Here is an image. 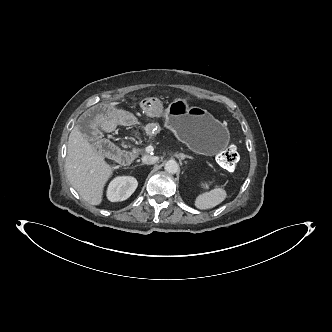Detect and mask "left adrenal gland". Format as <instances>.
I'll return each mask as SVG.
<instances>
[{"instance_id":"a2214340","label":"left adrenal gland","mask_w":332,"mask_h":332,"mask_svg":"<svg viewBox=\"0 0 332 332\" xmlns=\"http://www.w3.org/2000/svg\"><path fill=\"white\" fill-rule=\"evenodd\" d=\"M179 157H180L181 160H184L185 158L193 159L191 156L185 155L183 153H179Z\"/></svg>"}]
</instances>
